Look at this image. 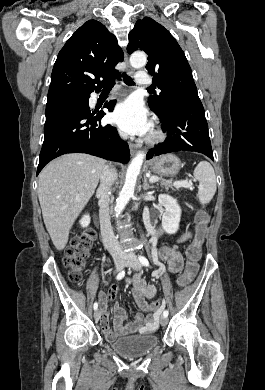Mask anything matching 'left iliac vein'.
I'll return each mask as SVG.
<instances>
[{"instance_id": "left-iliac-vein-1", "label": "left iliac vein", "mask_w": 265, "mask_h": 390, "mask_svg": "<svg viewBox=\"0 0 265 390\" xmlns=\"http://www.w3.org/2000/svg\"><path fill=\"white\" fill-rule=\"evenodd\" d=\"M125 266L133 268L134 270H140L141 269V264L137 257L133 253H126L125 256ZM168 323V318L165 316H162L160 318V324L162 326L167 325Z\"/></svg>"}]
</instances>
